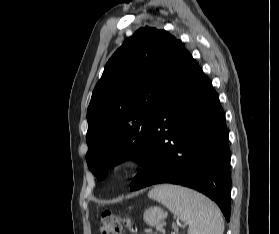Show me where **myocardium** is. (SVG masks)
Returning <instances> with one entry per match:
<instances>
[{"label":"myocardium","instance_id":"f54148a6","mask_svg":"<svg viewBox=\"0 0 279 234\" xmlns=\"http://www.w3.org/2000/svg\"><path fill=\"white\" fill-rule=\"evenodd\" d=\"M142 164L141 157L136 153H129L120 157L113 166V175L123 179L136 171Z\"/></svg>","mask_w":279,"mask_h":234}]
</instances>
